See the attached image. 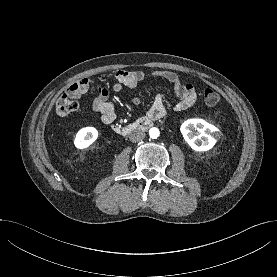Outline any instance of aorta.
I'll list each match as a JSON object with an SVG mask.
<instances>
[{
  "instance_id": "obj_1",
  "label": "aorta",
  "mask_w": 277,
  "mask_h": 277,
  "mask_svg": "<svg viewBox=\"0 0 277 277\" xmlns=\"http://www.w3.org/2000/svg\"><path fill=\"white\" fill-rule=\"evenodd\" d=\"M159 134H160V132H159V129H158V128L153 127V128H151V129L149 130V136H150V138H152V139L158 138V137H159Z\"/></svg>"
}]
</instances>
